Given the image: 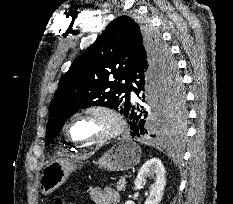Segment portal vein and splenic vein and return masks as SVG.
<instances>
[{
	"label": "portal vein and splenic vein",
	"instance_id": "18ae733b",
	"mask_svg": "<svg viewBox=\"0 0 233 204\" xmlns=\"http://www.w3.org/2000/svg\"><path fill=\"white\" fill-rule=\"evenodd\" d=\"M121 180H125V177H124V176H122V177H121Z\"/></svg>",
	"mask_w": 233,
	"mask_h": 204
}]
</instances>
